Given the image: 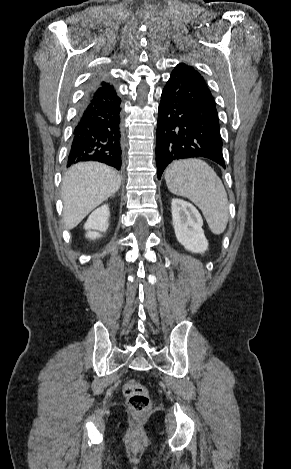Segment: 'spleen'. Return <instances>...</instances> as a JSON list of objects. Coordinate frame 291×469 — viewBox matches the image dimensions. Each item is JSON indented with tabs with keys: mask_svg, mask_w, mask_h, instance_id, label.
I'll return each instance as SVG.
<instances>
[{
	"mask_svg": "<svg viewBox=\"0 0 291 469\" xmlns=\"http://www.w3.org/2000/svg\"><path fill=\"white\" fill-rule=\"evenodd\" d=\"M168 189L197 205L213 234L226 229L229 206L226 190L216 172L200 159L171 163L165 170Z\"/></svg>",
	"mask_w": 291,
	"mask_h": 469,
	"instance_id": "spleen-1",
	"label": "spleen"
}]
</instances>
